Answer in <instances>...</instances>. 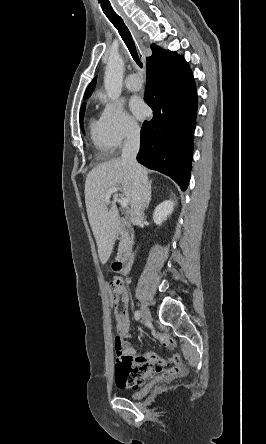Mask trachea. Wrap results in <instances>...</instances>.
Returning a JSON list of instances; mask_svg holds the SVG:
<instances>
[{
  "mask_svg": "<svg viewBox=\"0 0 266 444\" xmlns=\"http://www.w3.org/2000/svg\"><path fill=\"white\" fill-rule=\"evenodd\" d=\"M102 10L106 17L109 19V21L113 24V26L118 30L123 42L125 43L126 47L128 48L133 60L135 63L142 68L143 64L139 58V51L138 48L132 38V35L128 29V27L125 25L122 18L116 14V12L111 7L110 2L109 3H101Z\"/></svg>",
  "mask_w": 266,
  "mask_h": 444,
  "instance_id": "obj_1",
  "label": "trachea"
}]
</instances>
